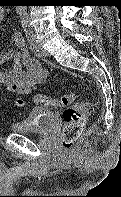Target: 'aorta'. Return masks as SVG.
Segmentation results:
<instances>
[{"label":"aorta","instance_id":"aorta-1","mask_svg":"<svg viewBox=\"0 0 121 197\" xmlns=\"http://www.w3.org/2000/svg\"><path fill=\"white\" fill-rule=\"evenodd\" d=\"M17 10L22 19H27V12L25 6H19Z\"/></svg>","mask_w":121,"mask_h":197}]
</instances>
